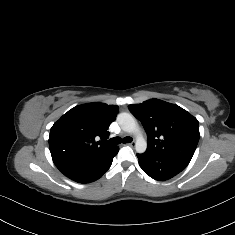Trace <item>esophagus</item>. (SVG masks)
I'll return each mask as SVG.
<instances>
[{"instance_id":"34e87169","label":"esophagus","mask_w":235,"mask_h":235,"mask_svg":"<svg viewBox=\"0 0 235 235\" xmlns=\"http://www.w3.org/2000/svg\"><path fill=\"white\" fill-rule=\"evenodd\" d=\"M127 145H129L131 147H134L135 146V142L128 143Z\"/></svg>"}]
</instances>
